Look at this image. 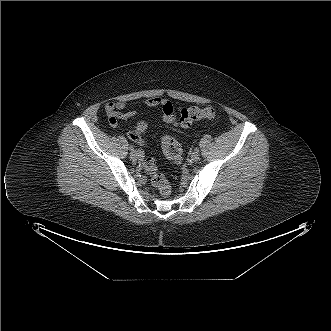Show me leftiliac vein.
Here are the masks:
<instances>
[{
    "label": "left iliac vein",
    "mask_w": 331,
    "mask_h": 331,
    "mask_svg": "<svg viewBox=\"0 0 331 331\" xmlns=\"http://www.w3.org/2000/svg\"><path fill=\"white\" fill-rule=\"evenodd\" d=\"M199 158H200V155L197 153V152H194V153H192V155H191V159L193 160V161H198L199 160Z\"/></svg>",
    "instance_id": "4c4485c4"
}]
</instances>
